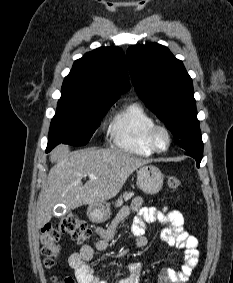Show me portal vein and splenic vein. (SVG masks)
Instances as JSON below:
<instances>
[{
  "label": "portal vein and splenic vein",
  "instance_id": "1",
  "mask_svg": "<svg viewBox=\"0 0 233 283\" xmlns=\"http://www.w3.org/2000/svg\"><path fill=\"white\" fill-rule=\"evenodd\" d=\"M88 176H89L90 179H96V176L93 175V174H89Z\"/></svg>",
  "mask_w": 233,
  "mask_h": 283
}]
</instances>
